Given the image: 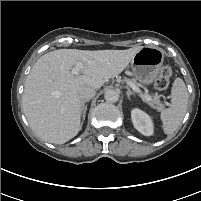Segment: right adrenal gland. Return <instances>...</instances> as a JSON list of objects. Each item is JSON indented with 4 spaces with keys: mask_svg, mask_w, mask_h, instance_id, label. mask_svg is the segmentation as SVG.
Instances as JSON below:
<instances>
[{
    "mask_svg": "<svg viewBox=\"0 0 201 201\" xmlns=\"http://www.w3.org/2000/svg\"><path fill=\"white\" fill-rule=\"evenodd\" d=\"M89 102V100H83L81 102V110H82V117H83V120H85V117H86V111H87V107L85 106V103Z\"/></svg>",
    "mask_w": 201,
    "mask_h": 201,
    "instance_id": "1",
    "label": "right adrenal gland"
}]
</instances>
